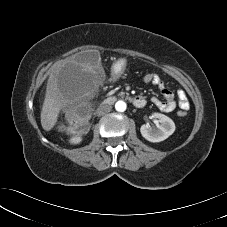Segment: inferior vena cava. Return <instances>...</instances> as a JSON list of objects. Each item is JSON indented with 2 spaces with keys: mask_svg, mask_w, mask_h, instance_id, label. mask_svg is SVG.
<instances>
[{
  "mask_svg": "<svg viewBox=\"0 0 227 227\" xmlns=\"http://www.w3.org/2000/svg\"><path fill=\"white\" fill-rule=\"evenodd\" d=\"M111 110H112L111 105L103 103V104H100V106L97 108L96 114L98 116H102V115L110 112Z\"/></svg>",
  "mask_w": 227,
  "mask_h": 227,
  "instance_id": "1",
  "label": "inferior vena cava"
}]
</instances>
